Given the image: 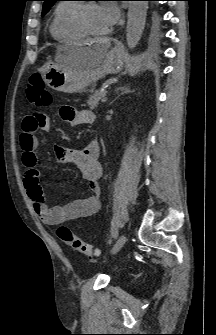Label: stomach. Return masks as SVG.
<instances>
[{
	"label": "stomach",
	"instance_id": "obj_1",
	"mask_svg": "<svg viewBox=\"0 0 216 335\" xmlns=\"http://www.w3.org/2000/svg\"><path fill=\"white\" fill-rule=\"evenodd\" d=\"M84 51L90 52V49L85 47ZM76 52L75 49L61 47L58 49L56 61L41 68L42 79L48 87L64 93L80 92L106 75L120 72L124 64V51L115 46L105 54L102 62L96 67L74 71L69 69L67 64Z\"/></svg>",
	"mask_w": 216,
	"mask_h": 335
}]
</instances>
